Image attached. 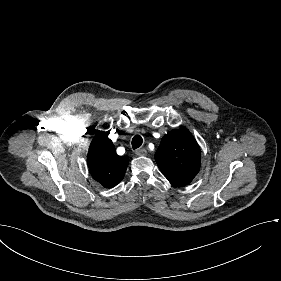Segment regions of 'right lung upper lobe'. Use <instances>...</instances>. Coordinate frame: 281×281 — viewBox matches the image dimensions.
<instances>
[{"mask_svg":"<svg viewBox=\"0 0 281 281\" xmlns=\"http://www.w3.org/2000/svg\"><path fill=\"white\" fill-rule=\"evenodd\" d=\"M97 134L88 151L87 163L93 178L106 188H112L123 179L129 159L118 156L109 132L95 131Z\"/></svg>","mask_w":281,"mask_h":281,"instance_id":"cb5924a9","label":"right lung upper lobe"}]
</instances>
